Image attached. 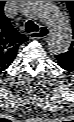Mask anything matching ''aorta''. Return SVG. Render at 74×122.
<instances>
[{
    "label": "aorta",
    "mask_w": 74,
    "mask_h": 122,
    "mask_svg": "<svg viewBox=\"0 0 74 122\" xmlns=\"http://www.w3.org/2000/svg\"><path fill=\"white\" fill-rule=\"evenodd\" d=\"M20 8L24 15L47 26L46 45L52 53L68 51L72 43L71 24L53 1H20Z\"/></svg>",
    "instance_id": "762f6f07"
}]
</instances>
